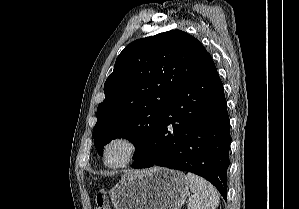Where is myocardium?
<instances>
[{"instance_id": "obj_1", "label": "myocardium", "mask_w": 299, "mask_h": 209, "mask_svg": "<svg viewBox=\"0 0 299 209\" xmlns=\"http://www.w3.org/2000/svg\"><path fill=\"white\" fill-rule=\"evenodd\" d=\"M118 142L124 143L127 146V148H128L127 155L121 163L116 164V165H110L107 163V151L112 144L118 143ZM140 149H141V145H140L139 141L132 135H129L126 133L114 135L104 145L103 155H102L103 164L107 168H110V169L124 168V167L130 165L136 159V157L140 153Z\"/></svg>"}]
</instances>
